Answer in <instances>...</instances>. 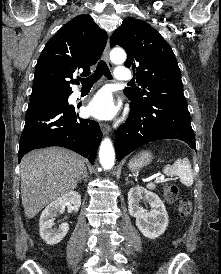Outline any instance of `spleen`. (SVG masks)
Segmentation results:
<instances>
[{
	"label": "spleen",
	"mask_w": 221,
	"mask_h": 274,
	"mask_svg": "<svg viewBox=\"0 0 221 274\" xmlns=\"http://www.w3.org/2000/svg\"><path fill=\"white\" fill-rule=\"evenodd\" d=\"M163 172L167 176H178L181 183L187 187H190L193 184V172L191 169L190 161L187 158L177 159L174 164L166 165L163 169ZM147 188L155 189V184H147Z\"/></svg>",
	"instance_id": "1"
}]
</instances>
